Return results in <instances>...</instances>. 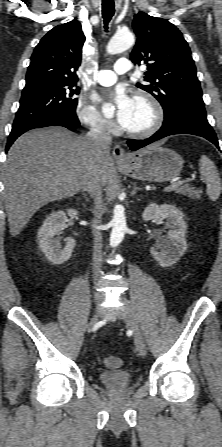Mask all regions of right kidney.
Listing matches in <instances>:
<instances>
[{"label":"right kidney","instance_id":"ca27d5eb","mask_svg":"<svg viewBox=\"0 0 222 447\" xmlns=\"http://www.w3.org/2000/svg\"><path fill=\"white\" fill-rule=\"evenodd\" d=\"M67 216L77 218L78 211L70 208L66 212L62 210L52 212L46 217L37 233L41 251L54 264H62L68 261L76 244V241L69 237L66 238V245L62 248L59 240L55 238L61 230L66 228Z\"/></svg>","mask_w":222,"mask_h":447}]
</instances>
